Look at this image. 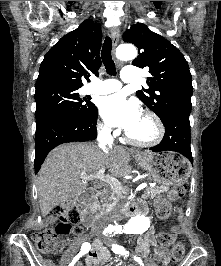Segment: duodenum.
<instances>
[{
  "mask_svg": "<svg viewBox=\"0 0 221 266\" xmlns=\"http://www.w3.org/2000/svg\"><path fill=\"white\" fill-rule=\"evenodd\" d=\"M97 197L96 191H87L79 195L78 200L84 205H88ZM143 209V205L140 202L129 203L126 207H121L120 211L125 212L128 216H134ZM98 210L92 207H87L82 213V223L84 226H92L97 218Z\"/></svg>",
  "mask_w": 221,
  "mask_h": 266,
  "instance_id": "obj_1",
  "label": "duodenum"
}]
</instances>
